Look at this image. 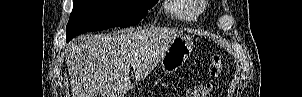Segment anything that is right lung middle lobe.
<instances>
[{"label":"right lung middle lobe","instance_id":"dd1d6c3e","mask_svg":"<svg viewBox=\"0 0 302 97\" xmlns=\"http://www.w3.org/2000/svg\"><path fill=\"white\" fill-rule=\"evenodd\" d=\"M158 0H74L66 41L88 31L138 24Z\"/></svg>","mask_w":302,"mask_h":97}]
</instances>
